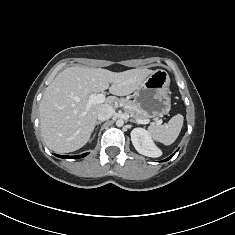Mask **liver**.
<instances>
[{
    "mask_svg": "<svg viewBox=\"0 0 235 235\" xmlns=\"http://www.w3.org/2000/svg\"><path fill=\"white\" fill-rule=\"evenodd\" d=\"M147 68L112 72L102 68L73 66L60 72L46 88L41 100L40 127L46 145L58 153H69L83 147L90 139L97 121V112L138 89L153 73ZM111 84V86H109ZM109 92L115 96L105 103L86 106L91 94Z\"/></svg>",
    "mask_w": 235,
    "mask_h": 235,
    "instance_id": "liver-1",
    "label": "liver"
}]
</instances>
